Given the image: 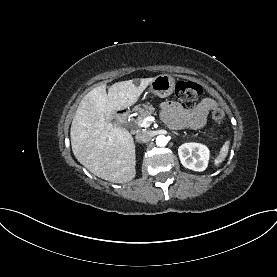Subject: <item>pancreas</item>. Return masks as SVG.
I'll return each mask as SVG.
<instances>
[{
    "label": "pancreas",
    "mask_w": 277,
    "mask_h": 277,
    "mask_svg": "<svg viewBox=\"0 0 277 277\" xmlns=\"http://www.w3.org/2000/svg\"><path fill=\"white\" fill-rule=\"evenodd\" d=\"M135 110L139 113L138 117L135 119L136 123H140L144 118L150 116L154 112V107L149 104L143 105V107L137 106Z\"/></svg>",
    "instance_id": "cf45deb5"
}]
</instances>
